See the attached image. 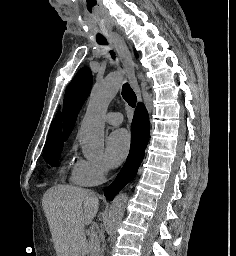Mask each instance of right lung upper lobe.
I'll return each instance as SVG.
<instances>
[{
    "label": "right lung upper lobe",
    "mask_w": 236,
    "mask_h": 256,
    "mask_svg": "<svg viewBox=\"0 0 236 256\" xmlns=\"http://www.w3.org/2000/svg\"><path fill=\"white\" fill-rule=\"evenodd\" d=\"M61 140H63V138H62V131H61V112L59 111L56 114V117L53 121L51 130L46 142H56Z\"/></svg>",
    "instance_id": "obj_1"
}]
</instances>
